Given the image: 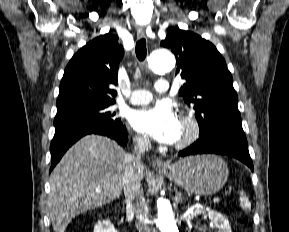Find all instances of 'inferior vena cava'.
<instances>
[{
  "label": "inferior vena cava",
  "mask_w": 289,
  "mask_h": 232,
  "mask_svg": "<svg viewBox=\"0 0 289 232\" xmlns=\"http://www.w3.org/2000/svg\"><path fill=\"white\" fill-rule=\"evenodd\" d=\"M134 153L125 157V168L123 177V189L126 199L127 214L136 215V228L138 232H151L147 223L148 206L145 201L141 179L136 170L142 167L141 154L150 146V141L145 136L135 138Z\"/></svg>",
  "instance_id": "obj_1"
}]
</instances>
